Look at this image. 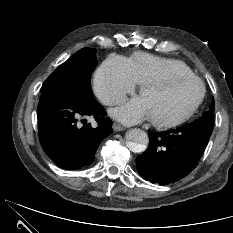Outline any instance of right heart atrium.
<instances>
[{
    "label": "right heart atrium",
    "mask_w": 233,
    "mask_h": 233,
    "mask_svg": "<svg viewBox=\"0 0 233 233\" xmlns=\"http://www.w3.org/2000/svg\"><path fill=\"white\" fill-rule=\"evenodd\" d=\"M125 58L110 56L97 68L91 88L96 98L104 105L112 106L124 102L135 90Z\"/></svg>",
    "instance_id": "right-heart-atrium-1"
}]
</instances>
